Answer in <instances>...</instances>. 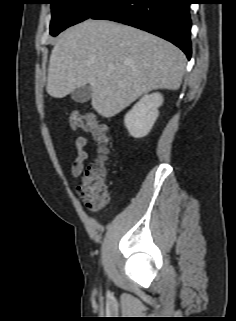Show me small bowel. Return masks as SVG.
<instances>
[{
  "mask_svg": "<svg viewBox=\"0 0 236 321\" xmlns=\"http://www.w3.org/2000/svg\"><path fill=\"white\" fill-rule=\"evenodd\" d=\"M88 140L86 137H78L75 140L76 147V157L71 165V173L73 177L78 178L81 176L84 170V163L88 158V153L85 151L84 147L86 146ZM86 207L89 212L95 214L98 209L92 208L86 204Z\"/></svg>",
  "mask_w": 236,
  "mask_h": 321,
  "instance_id": "1",
  "label": "small bowel"
}]
</instances>
